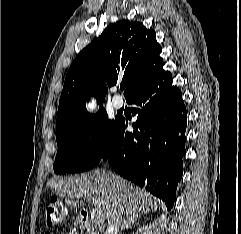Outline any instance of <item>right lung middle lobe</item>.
Wrapping results in <instances>:
<instances>
[{
	"instance_id": "1",
	"label": "right lung middle lobe",
	"mask_w": 241,
	"mask_h": 234,
	"mask_svg": "<svg viewBox=\"0 0 241 234\" xmlns=\"http://www.w3.org/2000/svg\"><path fill=\"white\" fill-rule=\"evenodd\" d=\"M118 118L109 120L104 108L79 123L56 131L58 151L53 164L56 174L92 169L101 160ZM91 138V139H90Z\"/></svg>"
}]
</instances>
